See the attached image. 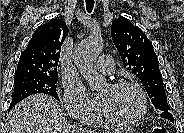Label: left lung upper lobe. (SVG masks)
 Segmentation results:
<instances>
[{
    "label": "left lung upper lobe",
    "instance_id": "5c2ea615",
    "mask_svg": "<svg viewBox=\"0 0 184 133\" xmlns=\"http://www.w3.org/2000/svg\"><path fill=\"white\" fill-rule=\"evenodd\" d=\"M111 36L123 64L141 80L154 107L169 111L158 58L147 36L125 17L113 20Z\"/></svg>",
    "mask_w": 184,
    "mask_h": 133
}]
</instances>
